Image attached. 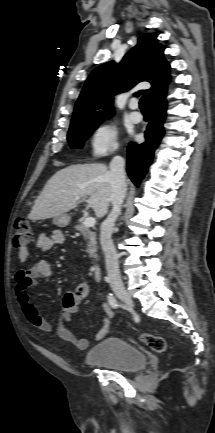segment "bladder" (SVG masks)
Returning a JSON list of instances; mask_svg holds the SVG:
<instances>
[{
	"instance_id": "31cf9c89",
	"label": "bladder",
	"mask_w": 215,
	"mask_h": 433,
	"mask_svg": "<svg viewBox=\"0 0 215 433\" xmlns=\"http://www.w3.org/2000/svg\"><path fill=\"white\" fill-rule=\"evenodd\" d=\"M85 362L87 365L106 366L128 373L144 368L147 360L138 347L121 338L107 337L87 352Z\"/></svg>"
}]
</instances>
